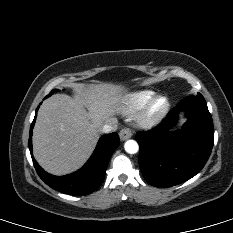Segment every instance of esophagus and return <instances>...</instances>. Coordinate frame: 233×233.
Here are the masks:
<instances>
[{"label":"esophagus","mask_w":233,"mask_h":233,"mask_svg":"<svg viewBox=\"0 0 233 233\" xmlns=\"http://www.w3.org/2000/svg\"><path fill=\"white\" fill-rule=\"evenodd\" d=\"M119 136L121 140H127L132 137V131L129 128H123L121 129Z\"/></svg>","instance_id":"34e87169"}]
</instances>
